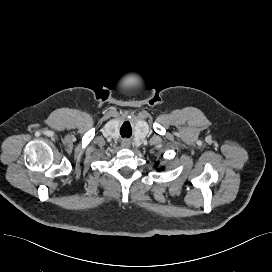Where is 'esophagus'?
Returning <instances> with one entry per match:
<instances>
[{"mask_svg": "<svg viewBox=\"0 0 272 272\" xmlns=\"http://www.w3.org/2000/svg\"><path fill=\"white\" fill-rule=\"evenodd\" d=\"M130 140L129 139H123L122 146L123 147H129L130 146Z\"/></svg>", "mask_w": 272, "mask_h": 272, "instance_id": "obj_1", "label": "esophagus"}]
</instances>
